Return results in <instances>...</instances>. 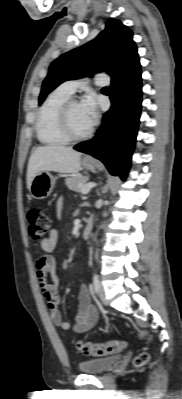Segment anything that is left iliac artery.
I'll return each mask as SVG.
<instances>
[{
    "label": "left iliac artery",
    "mask_w": 182,
    "mask_h": 399,
    "mask_svg": "<svg viewBox=\"0 0 182 399\" xmlns=\"http://www.w3.org/2000/svg\"><path fill=\"white\" fill-rule=\"evenodd\" d=\"M93 288H94L95 293L99 292L100 281H99L98 275L96 273L93 275Z\"/></svg>",
    "instance_id": "obj_1"
}]
</instances>
